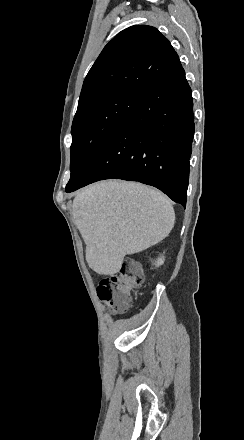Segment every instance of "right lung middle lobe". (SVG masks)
Masks as SVG:
<instances>
[{"label":"right lung middle lobe","instance_id":"right-lung-middle-lobe-1","mask_svg":"<svg viewBox=\"0 0 244 440\" xmlns=\"http://www.w3.org/2000/svg\"><path fill=\"white\" fill-rule=\"evenodd\" d=\"M140 98L119 94L106 100L78 105L71 130V177L66 187L80 178L103 143Z\"/></svg>","mask_w":244,"mask_h":440}]
</instances>
